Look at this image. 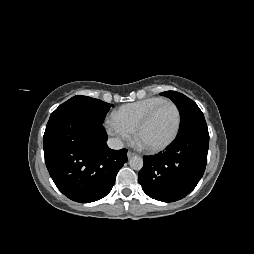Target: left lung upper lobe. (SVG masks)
<instances>
[{"instance_id": "1", "label": "left lung upper lobe", "mask_w": 254, "mask_h": 254, "mask_svg": "<svg viewBox=\"0 0 254 254\" xmlns=\"http://www.w3.org/2000/svg\"><path fill=\"white\" fill-rule=\"evenodd\" d=\"M161 95L170 98L180 111L181 124L178 135L193 130H208L204 115L194 101L176 91L162 92Z\"/></svg>"}]
</instances>
